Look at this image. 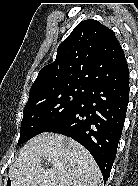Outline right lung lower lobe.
Wrapping results in <instances>:
<instances>
[{"label": "right lung lower lobe", "instance_id": "right-lung-lower-lobe-1", "mask_svg": "<svg viewBox=\"0 0 138 186\" xmlns=\"http://www.w3.org/2000/svg\"><path fill=\"white\" fill-rule=\"evenodd\" d=\"M129 101V80L117 85L89 87L82 102L48 128L82 144L108 180L122 134Z\"/></svg>", "mask_w": 138, "mask_h": 186}]
</instances>
